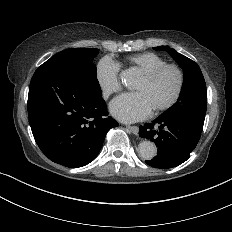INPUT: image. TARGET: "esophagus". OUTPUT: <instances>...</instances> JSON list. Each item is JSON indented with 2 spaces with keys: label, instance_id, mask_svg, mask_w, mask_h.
<instances>
[{
  "label": "esophagus",
  "instance_id": "esophagus-1",
  "mask_svg": "<svg viewBox=\"0 0 232 232\" xmlns=\"http://www.w3.org/2000/svg\"><path fill=\"white\" fill-rule=\"evenodd\" d=\"M126 128H128L135 135H137L139 132V128L137 126L127 125Z\"/></svg>",
  "mask_w": 232,
  "mask_h": 232
}]
</instances>
